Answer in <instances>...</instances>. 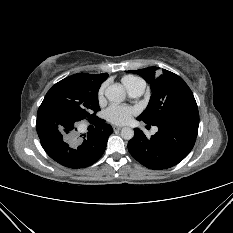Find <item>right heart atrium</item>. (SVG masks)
I'll return each mask as SVG.
<instances>
[{"instance_id": "obj_1", "label": "right heart atrium", "mask_w": 233, "mask_h": 233, "mask_svg": "<svg viewBox=\"0 0 233 233\" xmlns=\"http://www.w3.org/2000/svg\"><path fill=\"white\" fill-rule=\"evenodd\" d=\"M104 88L101 87L98 91V99L101 101L103 99Z\"/></svg>"}]
</instances>
